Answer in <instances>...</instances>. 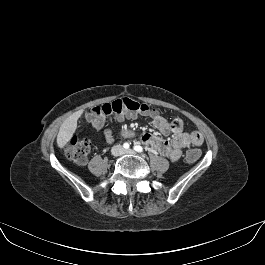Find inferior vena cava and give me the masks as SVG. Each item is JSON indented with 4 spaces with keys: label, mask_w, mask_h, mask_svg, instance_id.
<instances>
[{
    "label": "inferior vena cava",
    "mask_w": 265,
    "mask_h": 265,
    "mask_svg": "<svg viewBox=\"0 0 265 265\" xmlns=\"http://www.w3.org/2000/svg\"><path fill=\"white\" fill-rule=\"evenodd\" d=\"M122 147L120 145H116L112 147V154L113 155H120L122 153Z\"/></svg>",
    "instance_id": "obj_1"
}]
</instances>
